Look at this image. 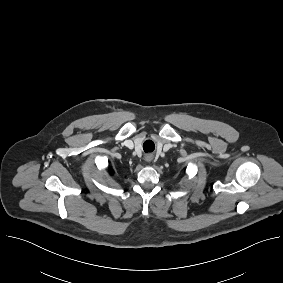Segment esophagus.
I'll return each mask as SVG.
<instances>
[{
    "label": "esophagus",
    "instance_id": "1",
    "mask_svg": "<svg viewBox=\"0 0 283 283\" xmlns=\"http://www.w3.org/2000/svg\"><path fill=\"white\" fill-rule=\"evenodd\" d=\"M151 160H152V156L151 155L146 157V161L150 162Z\"/></svg>",
    "mask_w": 283,
    "mask_h": 283
}]
</instances>
